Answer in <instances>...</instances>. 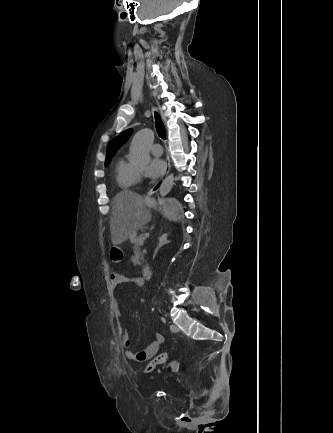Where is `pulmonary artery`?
<instances>
[{"instance_id": "e3ab8cb5", "label": "pulmonary artery", "mask_w": 333, "mask_h": 433, "mask_svg": "<svg viewBox=\"0 0 333 433\" xmlns=\"http://www.w3.org/2000/svg\"><path fill=\"white\" fill-rule=\"evenodd\" d=\"M151 153L153 156H161L163 153V148L159 143H155L151 147Z\"/></svg>"}]
</instances>
